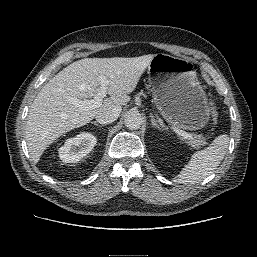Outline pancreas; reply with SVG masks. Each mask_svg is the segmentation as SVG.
<instances>
[{
	"mask_svg": "<svg viewBox=\"0 0 257 257\" xmlns=\"http://www.w3.org/2000/svg\"><path fill=\"white\" fill-rule=\"evenodd\" d=\"M193 139L189 141V145H191L195 149H199L201 146L205 145V137L201 134H193Z\"/></svg>",
	"mask_w": 257,
	"mask_h": 257,
	"instance_id": "obj_1",
	"label": "pancreas"
}]
</instances>
